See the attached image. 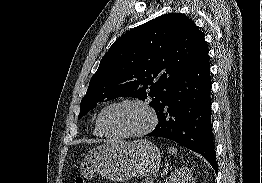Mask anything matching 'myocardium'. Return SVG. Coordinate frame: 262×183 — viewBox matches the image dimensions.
<instances>
[{"label":"myocardium","mask_w":262,"mask_h":183,"mask_svg":"<svg viewBox=\"0 0 262 183\" xmlns=\"http://www.w3.org/2000/svg\"><path fill=\"white\" fill-rule=\"evenodd\" d=\"M123 104H134V105H138L144 108L149 115L148 125L145 128H143L142 130L131 132V133H126V134H114V133L109 132L103 125V115L108 109L114 106L123 105ZM157 123H158V116H157V113L154 107L149 102L142 100V99H137V98H124V99H120V100L111 102L100 111L97 117V126L99 130L106 137H109L112 139H128V138H137V137L145 136L146 134L152 132L155 129Z\"/></svg>","instance_id":"1"}]
</instances>
